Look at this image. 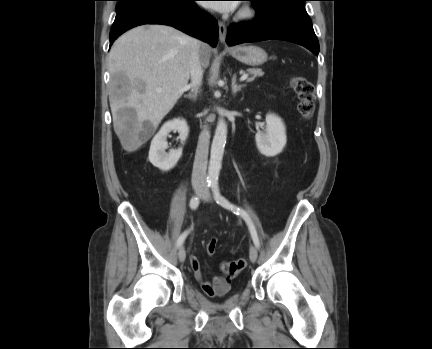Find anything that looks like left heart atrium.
I'll return each instance as SVG.
<instances>
[{
	"instance_id": "obj_1",
	"label": "left heart atrium",
	"mask_w": 432,
	"mask_h": 349,
	"mask_svg": "<svg viewBox=\"0 0 432 349\" xmlns=\"http://www.w3.org/2000/svg\"><path fill=\"white\" fill-rule=\"evenodd\" d=\"M207 7L215 9L219 12H231L237 7L236 1H224L206 4Z\"/></svg>"
}]
</instances>
